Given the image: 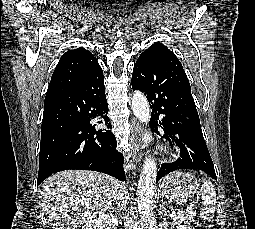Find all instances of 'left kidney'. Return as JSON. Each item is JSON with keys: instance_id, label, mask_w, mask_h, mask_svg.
I'll return each instance as SVG.
<instances>
[{"instance_id": "left-kidney-1", "label": "left kidney", "mask_w": 255, "mask_h": 229, "mask_svg": "<svg viewBox=\"0 0 255 229\" xmlns=\"http://www.w3.org/2000/svg\"><path fill=\"white\" fill-rule=\"evenodd\" d=\"M177 229H189V228H187L186 225H179V226L177 227Z\"/></svg>"}]
</instances>
